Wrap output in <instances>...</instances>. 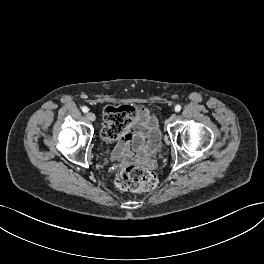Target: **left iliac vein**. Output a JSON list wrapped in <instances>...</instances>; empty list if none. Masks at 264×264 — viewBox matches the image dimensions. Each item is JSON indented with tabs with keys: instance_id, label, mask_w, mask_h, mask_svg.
Returning a JSON list of instances; mask_svg holds the SVG:
<instances>
[{
	"instance_id": "obj_1",
	"label": "left iliac vein",
	"mask_w": 264,
	"mask_h": 264,
	"mask_svg": "<svg viewBox=\"0 0 264 264\" xmlns=\"http://www.w3.org/2000/svg\"><path fill=\"white\" fill-rule=\"evenodd\" d=\"M176 119V114H172L171 116H170V121H174Z\"/></svg>"
}]
</instances>
